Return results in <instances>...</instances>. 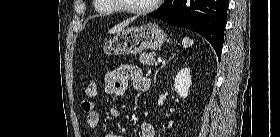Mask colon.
Segmentation results:
<instances>
[{
	"label": "colon",
	"instance_id": "1",
	"mask_svg": "<svg viewBox=\"0 0 280 137\" xmlns=\"http://www.w3.org/2000/svg\"><path fill=\"white\" fill-rule=\"evenodd\" d=\"M98 91V84L95 80L90 79L84 86V93L89 96L93 97L97 94Z\"/></svg>",
	"mask_w": 280,
	"mask_h": 137
}]
</instances>
